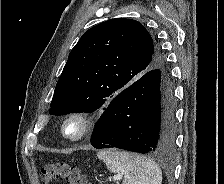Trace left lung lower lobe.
Returning <instances> with one entry per match:
<instances>
[{
  "mask_svg": "<svg viewBox=\"0 0 224 184\" xmlns=\"http://www.w3.org/2000/svg\"><path fill=\"white\" fill-rule=\"evenodd\" d=\"M173 85L166 69L148 71L107 105L91 138L97 149L161 154L175 140Z\"/></svg>",
  "mask_w": 224,
  "mask_h": 184,
  "instance_id": "left-lung-lower-lobe-1",
  "label": "left lung lower lobe"
}]
</instances>
